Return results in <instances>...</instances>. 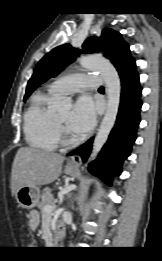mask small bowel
<instances>
[{
  "mask_svg": "<svg viewBox=\"0 0 162 261\" xmlns=\"http://www.w3.org/2000/svg\"><path fill=\"white\" fill-rule=\"evenodd\" d=\"M30 223H31V226L37 227V224H38V216H37L36 213H32V214H31Z\"/></svg>",
  "mask_w": 162,
  "mask_h": 261,
  "instance_id": "small-bowel-1",
  "label": "small bowel"
}]
</instances>
